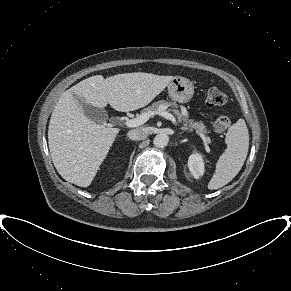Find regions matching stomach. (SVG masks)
Here are the masks:
<instances>
[{
  "label": "stomach",
  "mask_w": 291,
  "mask_h": 291,
  "mask_svg": "<svg viewBox=\"0 0 291 291\" xmlns=\"http://www.w3.org/2000/svg\"><path fill=\"white\" fill-rule=\"evenodd\" d=\"M168 94L175 102L187 103L193 97L194 86L189 79L176 76L168 84Z\"/></svg>",
  "instance_id": "1"
}]
</instances>
